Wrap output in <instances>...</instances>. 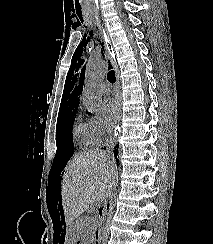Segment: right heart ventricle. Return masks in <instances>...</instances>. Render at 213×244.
Instances as JSON below:
<instances>
[{
    "label": "right heart ventricle",
    "instance_id": "1",
    "mask_svg": "<svg viewBox=\"0 0 213 244\" xmlns=\"http://www.w3.org/2000/svg\"><path fill=\"white\" fill-rule=\"evenodd\" d=\"M73 134L78 144L85 147L93 145L85 124L80 122L76 123L73 128Z\"/></svg>",
    "mask_w": 213,
    "mask_h": 244
}]
</instances>
